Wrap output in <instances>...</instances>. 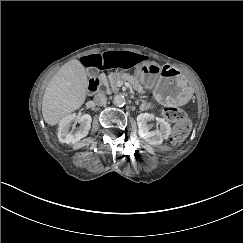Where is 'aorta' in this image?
Segmentation results:
<instances>
[{
    "instance_id": "762f6f07",
    "label": "aorta",
    "mask_w": 243,
    "mask_h": 243,
    "mask_svg": "<svg viewBox=\"0 0 243 243\" xmlns=\"http://www.w3.org/2000/svg\"><path fill=\"white\" fill-rule=\"evenodd\" d=\"M113 103L118 107H123L126 104V99L123 95H115L113 99Z\"/></svg>"
}]
</instances>
